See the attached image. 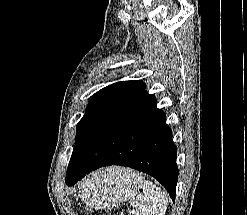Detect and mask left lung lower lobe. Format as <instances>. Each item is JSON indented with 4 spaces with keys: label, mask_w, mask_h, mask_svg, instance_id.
<instances>
[{
    "label": "left lung lower lobe",
    "mask_w": 247,
    "mask_h": 215,
    "mask_svg": "<svg viewBox=\"0 0 247 215\" xmlns=\"http://www.w3.org/2000/svg\"><path fill=\"white\" fill-rule=\"evenodd\" d=\"M154 95L144 91L98 139L84 140L70 159L66 183L74 185L103 166L121 165L153 176L175 200L177 148L165 113Z\"/></svg>",
    "instance_id": "left-lung-lower-lobe-1"
}]
</instances>
